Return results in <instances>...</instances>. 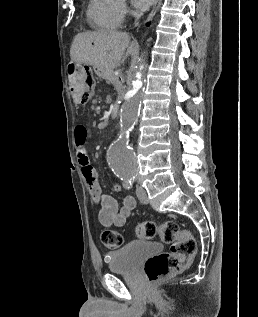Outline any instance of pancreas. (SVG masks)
<instances>
[{
    "mask_svg": "<svg viewBox=\"0 0 258 317\" xmlns=\"http://www.w3.org/2000/svg\"><path fill=\"white\" fill-rule=\"evenodd\" d=\"M110 83H111V86L114 87V92L115 93H120L122 88H123V85L117 80L116 77H111L110 78Z\"/></svg>",
    "mask_w": 258,
    "mask_h": 317,
    "instance_id": "obj_1",
    "label": "pancreas"
}]
</instances>
